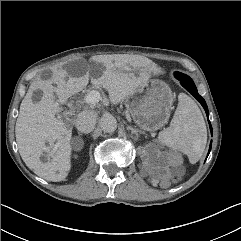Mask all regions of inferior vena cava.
<instances>
[{"mask_svg": "<svg viewBox=\"0 0 241 241\" xmlns=\"http://www.w3.org/2000/svg\"><path fill=\"white\" fill-rule=\"evenodd\" d=\"M97 114L93 110L80 112L75 119V126L82 133H90L96 125Z\"/></svg>", "mask_w": 241, "mask_h": 241, "instance_id": "602c4592", "label": "inferior vena cava"}]
</instances>
